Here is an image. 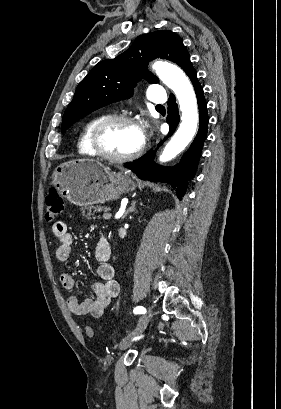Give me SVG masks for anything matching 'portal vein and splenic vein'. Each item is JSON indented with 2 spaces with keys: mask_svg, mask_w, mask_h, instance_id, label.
Returning <instances> with one entry per match:
<instances>
[{
  "mask_svg": "<svg viewBox=\"0 0 281 409\" xmlns=\"http://www.w3.org/2000/svg\"><path fill=\"white\" fill-rule=\"evenodd\" d=\"M102 216H104V219H111V215L108 212L102 213ZM103 218V217H102ZM118 219V218H117Z\"/></svg>",
  "mask_w": 281,
  "mask_h": 409,
  "instance_id": "1",
  "label": "portal vein and splenic vein"
}]
</instances>
